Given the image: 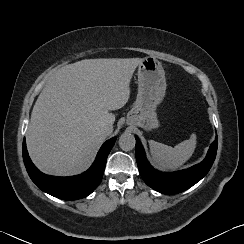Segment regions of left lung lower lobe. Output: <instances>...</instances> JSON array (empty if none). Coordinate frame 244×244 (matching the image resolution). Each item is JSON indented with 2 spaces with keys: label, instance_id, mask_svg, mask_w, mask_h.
<instances>
[{
  "label": "left lung lower lobe",
  "instance_id": "obj_1",
  "mask_svg": "<svg viewBox=\"0 0 244 244\" xmlns=\"http://www.w3.org/2000/svg\"><path fill=\"white\" fill-rule=\"evenodd\" d=\"M135 138L136 160L142 179L154 190L167 195L183 192L200 181L210 170L216 157L218 145V141L215 140L201 163L182 171L165 173L157 171L150 165L139 138L137 136Z\"/></svg>",
  "mask_w": 244,
  "mask_h": 244
}]
</instances>
